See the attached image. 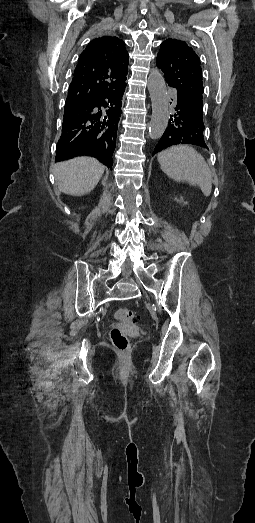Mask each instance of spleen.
I'll use <instances>...</instances> for the list:
<instances>
[{
	"mask_svg": "<svg viewBox=\"0 0 255 523\" xmlns=\"http://www.w3.org/2000/svg\"><path fill=\"white\" fill-rule=\"evenodd\" d=\"M158 162L161 170L177 182H188L198 184L204 196H210L212 192L211 172L203 156L190 146H172L158 154Z\"/></svg>",
	"mask_w": 255,
	"mask_h": 523,
	"instance_id": "obj_1",
	"label": "spleen"
}]
</instances>
